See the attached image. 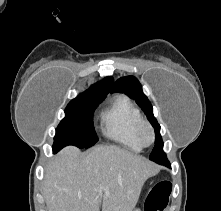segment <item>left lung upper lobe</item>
<instances>
[{
	"mask_svg": "<svg viewBox=\"0 0 221 211\" xmlns=\"http://www.w3.org/2000/svg\"><path fill=\"white\" fill-rule=\"evenodd\" d=\"M112 92H121L128 95L130 98L135 99L136 103L142 108L147 115L148 120L155 129V147L150 154V160L161 163L167 160L166 154L163 151V141L160 135V125L153 115V107L149 102L147 96L142 91V86L139 81L133 76H127L118 79L113 85Z\"/></svg>",
	"mask_w": 221,
	"mask_h": 211,
	"instance_id": "obj_1",
	"label": "left lung upper lobe"
}]
</instances>
